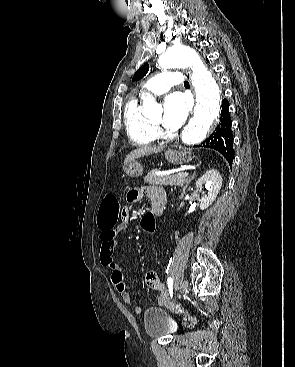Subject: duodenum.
<instances>
[{
	"mask_svg": "<svg viewBox=\"0 0 295 367\" xmlns=\"http://www.w3.org/2000/svg\"><path fill=\"white\" fill-rule=\"evenodd\" d=\"M165 203L161 200H155L151 204V213L154 216H159L164 210Z\"/></svg>",
	"mask_w": 295,
	"mask_h": 367,
	"instance_id": "duodenum-1",
	"label": "duodenum"
}]
</instances>
